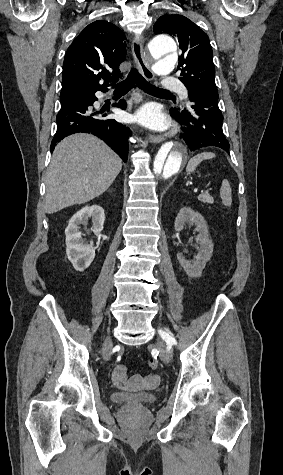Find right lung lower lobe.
I'll use <instances>...</instances> for the list:
<instances>
[{
  "label": "right lung lower lobe",
  "mask_w": 283,
  "mask_h": 475,
  "mask_svg": "<svg viewBox=\"0 0 283 475\" xmlns=\"http://www.w3.org/2000/svg\"><path fill=\"white\" fill-rule=\"evenodd\" d=\"M95 92L83 91L61 99V109L56 117L57 131L51 142V152L58 142L71 134L91 133L105 141L126 162L127 138L131 135V131L114 119L105 118L107 114L103 113L104 110L97 111L92 108L93 103L98 100ZM114 106L125 109L126 102L120 100Z\"/></svg>",
  "instance_id": "right-lung-lower-lobe-1"
}]
</instances>
